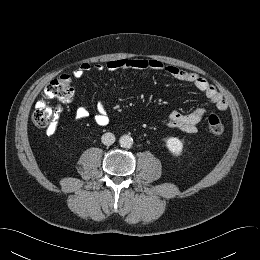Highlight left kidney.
Segmentation results:
<instances>
[{"label":"left kidney","instance_id":"5707ae66","mask_svg":"<svg viewBox=\"0 0 260 260\" xmlns=\"http://www.w3.org/2000/svg\"><path fill=\"white\" fill-rule=\"evenodd\" d=\"M166 146L171 153L178 156L183 151V143L176 137H170L166 141Z\"/></svg>","mask_w":260,"mask_h":260}]
</instances>
